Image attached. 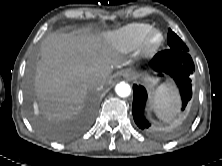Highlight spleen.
Wrapping results in <instances>:
<instances>
[{"label": "spleen", "instance_id": "3e777b00", "mask_svg": "<svg viewBox=\"0 0 222 166\" xmlns=\"http://www.w3.org/2000/svg\"><path fill=\"white\" fill-rule=\"evenodd\" d=\"M152 109L163 121L170 120L179 110V98L175 86L166 82L151 94Z\"/></svg>", "mask_w": 222, "mask_h": 166}]
</instances>
